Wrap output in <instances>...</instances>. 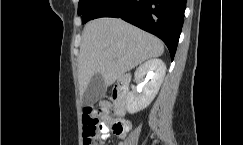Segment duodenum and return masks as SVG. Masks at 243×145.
Instances as JSON below:
<instances>
[{"label": "duodenum", "instance_id": "410a0bca", "mask_svg": "<svg viewBox=\"0 0 243 145\" xmlns=\"http://www.w3.org/2000/svg\"><path fill=\"white\" fill-rule=\"evenodd\" d=\"M129 75L125 74L119 78L112 90V99L117 114L125 113V101L129 90Z\"/></svg>", "mask_w": 243, "mask_h": 145}]
</instances>
